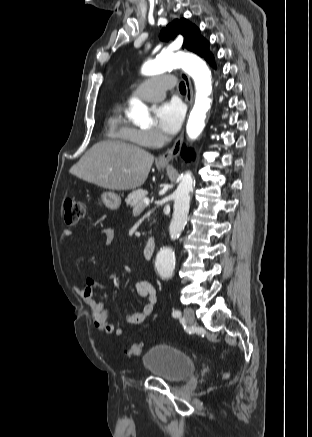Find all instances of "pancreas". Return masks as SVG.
<instances>
[{
  "label": "pancreas",
  "mask_w": 312,
  "mask_h": 437,
  "mask_svg": "<svg viewBox=\"0 0 312 437\" xmlns=\"http://www.w3.org/2000/svg\"><path fill=\"white\" fill-rule=\"evenodd\" d=\"M147 192L143 189H138L133 192H131L127 198L125 199V202L127 206H130L131 208H135L137 206H142V209L145 207L143 204V199L146 197Z\"/></svg>",
  "instance_id": "obj_1"
}]
</instances>
